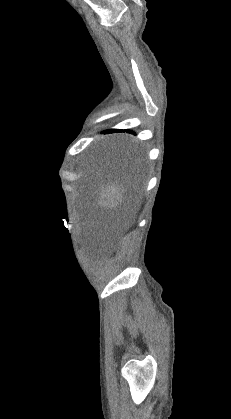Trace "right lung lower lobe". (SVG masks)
<instances>
[{"instance_id": "obj_1", "label": "right lung lower lobe", "mask_w": 231, "mask_h": 419, "mask_svg": "<svg viewBox=\"0 0 231 419\" xmlns=\"http://www.w3.org/2000/svg\"><path fill=\"white\" fill-rule=\"evenodd\" d=\"M123 132V130H116V129H112V130H108V131H106L105 133H110V132ZM126 132H131V131H129V130H126Z\"/></svg>"}]
</instances>
